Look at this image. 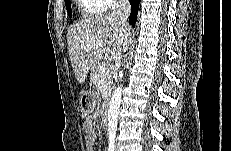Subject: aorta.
<instances>
[{
  "label": "aorta",
  "instance_id": "1",
  "mask_svg": "<svg viewBox=\"0 0 231 151\" xmlns=\"http://www.w3.org/2000/svg\"><path fill=\"white\" fill-rule=\"evenodd\" d=\"M121 97H122V85L118 86L114 90L108 110V135H109L110 142L114 141L116 136Z\"/></svg>",
  "mask_w": 231,
  "mask_h": 151
}]
</instances>
